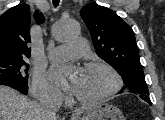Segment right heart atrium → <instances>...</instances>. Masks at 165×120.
Wrapping results in <instances>:
<instances>
[{
  "instance_id": "d8ad5b80",
  "label": "right heart atrium",
  "mask_w": 165,
  "mask_h": 120,
  "mask_svg": "<svg viewBox=\"0 0 165 120\" xmlns=\"http://www.w3.org/2000/svg\"><path fill=\"white\" fill-rule=\"evenodd\" d=\"M31 91L39 100L60 101L62 99L61 92L40 72L35 73L33 76Z\"/></svg>"
}]
</instances>
